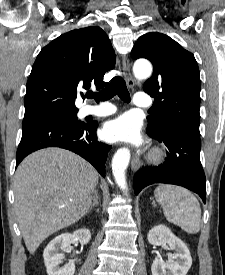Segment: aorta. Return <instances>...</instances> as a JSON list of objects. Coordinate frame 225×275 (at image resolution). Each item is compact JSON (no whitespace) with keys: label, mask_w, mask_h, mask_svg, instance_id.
Here are the masks:
<instances>
[{"label":"aorta","mask_w":225,"mask_h":275,"mask_svg":"<svg viewBox=\"0 0 225 275\" xmlns=\"http://www.w3.org/2000/svg\"><path fill=\"white\" fill-rule=\"evenodd\" d=\"M152 73V66L148 61H137L133 66L136 79H147ZM130 151L127 148L119 149L112 159V172L116 183L122 190H126L125 171L130 161Z\"/></svg>","instance_id":"obj_1"}]
</instances>
